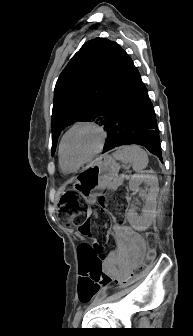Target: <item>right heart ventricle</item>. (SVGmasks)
<instances>
[{
	"label": "right heart ventricle",
	"instance_id": "1",
	"mask_svg": "<svg viewBox=\"0 0 193 336\" xmlns=\"http://www.w3.org/2000/svg\"><path fill=\"white\" fill-rule=\"evenodd\" d=\"M59 163H60L61 171H62L63 173H65V174L73 173V172H75V171L79 168V167H78V168H74V167H70V166L66 165V164L62 161L60 155H59Z\"/></svg>",
	"mask_w": 193,
	"mask_h": 336
}]
</instances>
